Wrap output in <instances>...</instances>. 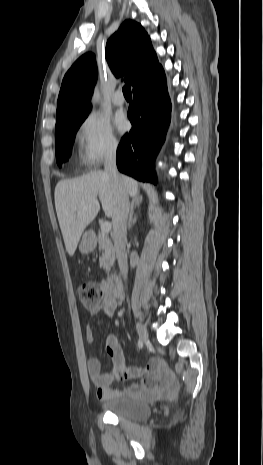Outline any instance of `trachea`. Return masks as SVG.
Returning <instances> with one entry per match:
<instances>
[{"instance_id": "obj_1", "label": "trachea", "mask_w": 263, "mask_h": 465, "mask_svg": "<svg viewBox=\"0 0 263 465\" xmlns=\"http://www.w3.org/2000/svg\"><path fill=\"white\" fill-rule=\"evenodd\" d=\"M122 90H123L124 96H132L130 83L126 84Z\"/></svg>"}]
</instances>
